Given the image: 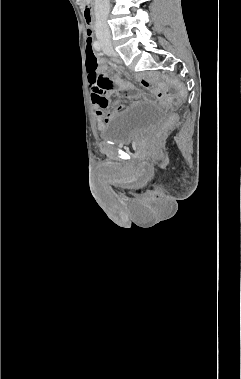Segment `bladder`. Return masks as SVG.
Wrapping results in <instances>:
<instances>
[{
    "label": "bladder",
    "mask_w": 241,
    "mask_h": 379,
    "mask_svg": "<svg viewBox=\"0 0 241 379\" xmlns=\"http://www.w3.org/2000/svg\"><path fill=\"white\" fill-rule=\"evenodd\" d=\"M163 112L149 103H136L123 111L113 113L99 131L103 140L115 144H129L146 131L157 126Z\"/></svg>",
    "instance_id": "1"
}]
</instances>
